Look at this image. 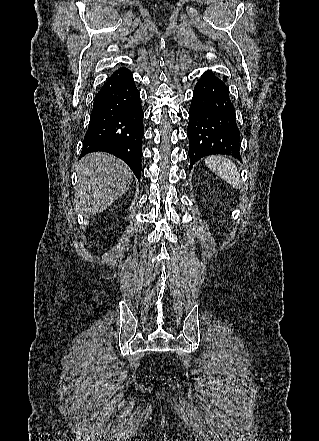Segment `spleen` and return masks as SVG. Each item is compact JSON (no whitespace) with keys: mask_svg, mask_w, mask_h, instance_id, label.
Instances as JSON below:
<instances>
[{"mask_svg":"<svg viewBox=\"0 0 319 441\" xmlns=\"http://www.w3.org/2000/svg\"><path fill=\"white\" fill-rule=\"evenodd\" d=\"M207 167L216 173L221 179L225 180L233 188L240 187V174L236 166L225 157L210 156L205 159Z\"/></svg>","mask_w":319,"mask_h":441,"instance_id":"spleen-1","label":"spleen"}]
</instances>
